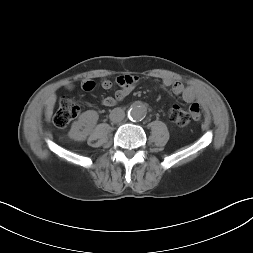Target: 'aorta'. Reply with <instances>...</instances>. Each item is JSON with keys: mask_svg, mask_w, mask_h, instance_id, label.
I'll list each match as a JSON object with an SVG mask.
<instances>
[{"mask_svg": "<svg viewBox=\"0 0 253 253\" xmlns=\"http://www.w3.org/2000/svg\"><path fill=\"white\" fill-rule=\"evenodd\" d=\"M146 110L140 105H133L128 111V117L134 121H140L145 118Z\"/></svg>", "mask_w": 253, "mask_h": 253, "instance_id": "762f6f07", "label": "aorta"}]
</instances>
